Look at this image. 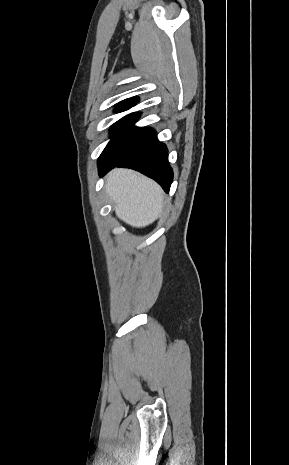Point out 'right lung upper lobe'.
Instances as JSON below:
<instances>
[{
    "instance_id": "1",
    "label": "right lung upper lobe",
    "mask_w": 289,
    "mask_h": 465,
    "mask_svg": "<svg viewBox=\"0 0 289 465\" xmlns=\"http://www.w3.org/2000/svg\"><path fill=\"white\" fill-rule=\"evenodd\" d=\"M137 102H138V98H137V97H133V98L125 99V100L119 102V103L117 104V106L133 105V104H135V103H137Z\"/></svg>"
}]
</instances>
